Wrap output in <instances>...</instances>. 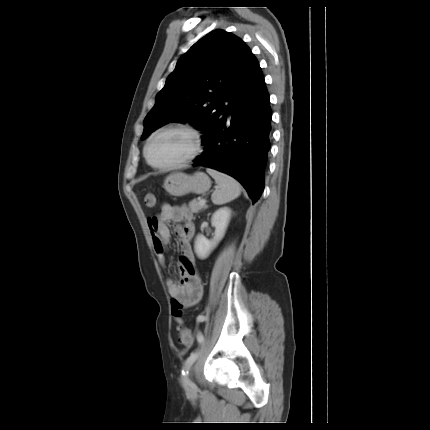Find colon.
Wrapping results in <instances>:
<instances>
[{
  "label": "colon",
  "mask_w": 430,
  "mask_h": 430,
  "mask_svg": "<svg viewBox=\"0 0 430 430\" xmlns=\"http://www.w3.org/2000/svg\"><path fill=\"white\" fill-rule=\"evenodd\" d=\"M145 204L147 207H154L156 204V196L153 193L145 195ZM196 334L189 329H184L180 332V341L186 347H191L195 341Z\"/></svg>",
  "instance_id": "colon-1"
}]
</instances>
